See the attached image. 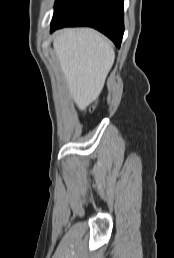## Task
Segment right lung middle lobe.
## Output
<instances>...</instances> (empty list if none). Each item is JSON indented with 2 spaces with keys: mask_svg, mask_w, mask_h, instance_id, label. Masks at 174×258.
I'll use <instances>...</instances> for the list:
<instances>
[{
  "mask_svg": "<svg viewBox=\"0 0 174 258\" xmlns=\"http://www.w3.org/2000/svg\"><path fill=\"white\" fill-rule=\"evenodd\" d=\"M68 0H56L54 6V14L61 9V7L67 2Z\"/></svg>",
  "mask_w": 174,
  "mask_h": 258,
  "instance_id": "dd1d6c3e",
  "label": "right lung middle lobe"
}]
</instances>
